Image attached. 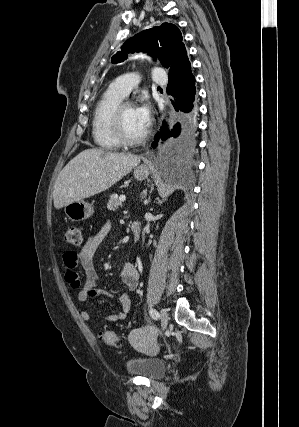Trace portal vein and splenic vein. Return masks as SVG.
<instances>
[{
    "label": "portal vein and splenic vein",
    "mask_w": 299,
    "mask_h": 427,
    "mask_svg": "<svg viewBox=\"0 0 299 427\" xmlns=\"http://www.w3.org/2000/svg\"><path fill=\"white\" fill-rule=\"evenodd\" d=\"M120 201L124 202L126 200V197L124 195L120 196Z\"/></svg>",
    "instance_id": "1"
}]
</instances>
